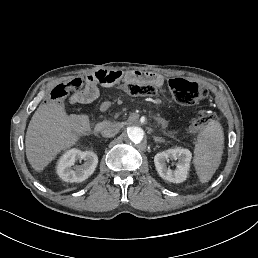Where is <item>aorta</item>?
Masks as SVG:
<instances>
[{
  "label": "aorta",
  "mask_w": 258,
  "mask_h": 258,
  "mask_svg": "<svg viewBox=\"0 0 258 258\" xmlns=\"http://www.w3.org/2000/svg\"><path fill=\"white\" fill-rule=\"evenodd\" d=\"M126 135L131 142L139 144L143 140L145 132L141 127L129 126Z\"/></svg>",
  "instance_id": "762f6f07"
}]
</instances>
